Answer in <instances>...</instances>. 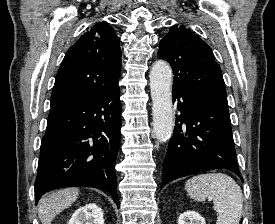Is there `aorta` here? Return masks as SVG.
<instances>
[{
  "label": "aorta",
  "instance_id": "762f6f07",
  "mask_svg": "<svg viewBox=\"0 0 275 224\" xmlns=\"http://www.w3.org/2000/svg\"><path fill=\"white\" fill-rule=\"evenodd\" d=\"M171 85V67L164 61L154 63L150 72V90L153 129L159 142L167 141L174 129Z\"/></svg>",
  "mask_w": 275,
  "mask_h": 224
}]
</instances>
